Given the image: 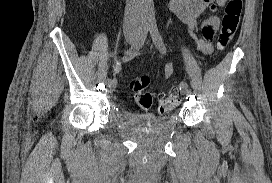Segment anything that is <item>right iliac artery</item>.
<instances>
[{"instance_id": "obj_1", "label": "right iliac artery", "mask_w": 272, "mask_h": 183, "mask_svg": "<svg viewBox=\"0 0 272 183\" xmlns=\"http://www.w3.org/2000/svg\"><path fill=\"white\" fill-rule=\"evenodd\" d=\"M150 25L148 24H142L138 35H137V39L136 41L133 43V45L126 51L125 55L123 56L122 60L123 62H128L131 59H133L137 54L139 49L142 47L148 31H149ZM108 81H116L117 77L116 76H111L110 79H107Z\"/></svg>"}]
</instances>
